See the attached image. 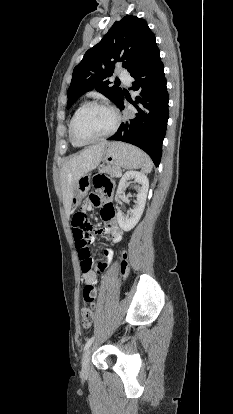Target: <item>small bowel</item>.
I'll return each instance as SVG.
<instances>
[{
	"instance_id": "c3829d8e",
	"label": "small bowel",
	"mask_w": 233,
	"mask_h": 414,
	"mask_svg": "<svg viewBox=\"0 0 233 414\" xmlns=\"http://www.w3.org/2000/svg\"><path fill=\"white\" fill-rule=\"evenodd\" d=\"M110 196H111V193L106 195L102 193L101 191H98V193L93 196L91 202L92 204H96L101 200H108ZM104 206L108 207L107 212L104 213L103 211H101V217L105 222V226L100 228L99 231L97 232L109 235L111 240L115 243L119 242L122 239L123 233L117 223L114 208L110 203H106ZM73 234L75 235L74 228H73ZM103 256H104L105 261L98 265L99 272H103L107 265L106 262L112 259L113 257L112 249L110 248L103 249ZM82 276H83L85 285H92L95 288V285L97 283V275H96V272L93 270V268L89 271H82Z\"/></svg>"
}]
</instances>
